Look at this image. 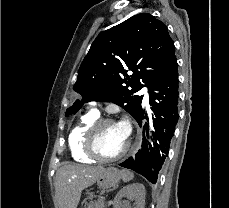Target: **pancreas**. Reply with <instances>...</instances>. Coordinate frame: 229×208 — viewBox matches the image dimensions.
I'll list each match as a JSON object with an SVG mask.
<instances>
[{
	"label": "pancreas",
	"instance_id": "cf45deb5",
	"mask_svg": "<svg viewBox=\"0 0 229 208\" xmlns=\"http://www.w3.org/2000/svg\"><path fill=\"white\" fill-rule=\"evenodd\" d=\"M87 208H106L105 198H98V200H94V202H90Z\"/></svg>",
	"mask_w": 229,
	"mask_h": 208
}]
</instances>
